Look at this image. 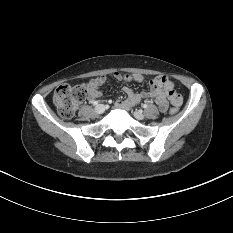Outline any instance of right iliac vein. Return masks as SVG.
I'll use <instances>...</instances> for the list:
<instances>
[{"mask_svg": "<svg viewBox=\"0 0 233 233\" xmlns=\"http://www.w3.org/2000/svg\"><path fill=\"white\" fill-rule=\"evenodd\" d=\"M95 111L98 113V114H102L104 111H105V106L102 105V104H99L95 107Z\"/></svg>", "mask_w": 233, "mask_h": 233, "instance_id": "63e3f726", "label": "right iliac vein"}]
</instances>
